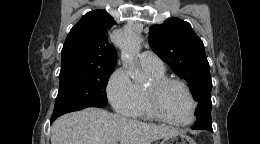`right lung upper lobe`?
<instances>
[{"instance_id": "right-lung-upper-lobe-1", "label": "right lung upper lobe", "mask_w": 260, "mask_h": 144, "mask_svg": "<svg viewBox=\"0 0 260 144\" xmlns=\"http://www.w3.org/2000/svg\"><path fill=\"white\" fill-rule=\"evenodd\" d=\"M115 24L103 10L85 14L70 30L62 52L61 70L115 68L117 52L108 43V30Z\"/></svg>"}]
</instances>
